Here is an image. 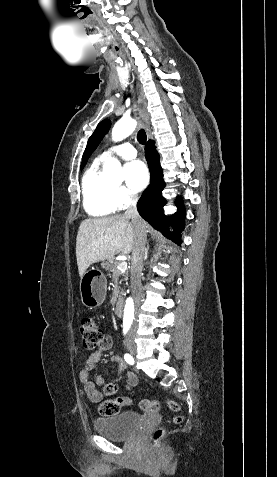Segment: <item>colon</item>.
<instances>
[{"mask_svg": "<svg viewBox=\"0 0 277 477\" xmlns=\"http://www.w3.org/2000/svg\"><path fill=\"white\" fill-rule=\"evenodd\" d=\"M80 333L82 338L83 348L91 352L97 348L101 339H102V330L95 320L91 317H85L80 322ZM116 388L113 385H108L105 389L106 393L111 395L115 392ZM123 398H111L103 403L100 408V412L105 415H111L119 413L121 407L123 406ZM140 406L143 410L148 412H157L160 408V403L157 400H142ZM168 408L173 412H179L180 406L174 402L170 401L168 403ZM176 423L182 421V416L177 415L174 418ZM164 436V430L162 428L157 429L153 433V441L155 444L159 443L162 437Z\"/></svg>", "mask_w": 277, "mask_h": 477, "instance_id": "colon-1", "label": "colon"}]
</instances>
